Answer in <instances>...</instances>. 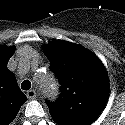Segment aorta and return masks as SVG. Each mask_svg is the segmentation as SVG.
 <instances>
[{"label": "aorta", "instance_id": "1", "mask_svg": "<svg viewBox=\"0 0 125 125\" xmlns=\"http://www.w3.org/2000/svg\"><path fill=\"white\" fill-rule=\"evenodd\" d=\"M40 88L43 95L47 98H55L58 95V84L54 78L53 73L47 71L40 75Z\"/></svg>", "mask_w": 125, "mask_h": 125}]
</instances>
